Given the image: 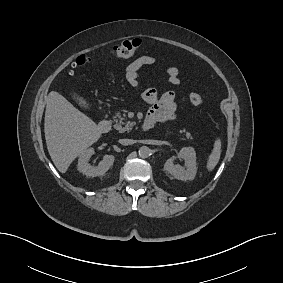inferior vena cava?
<instances>
[{
  "instance_id": "obj_1",
  "label": "inferior vena cava",
  "mask_w": 283,
  "mask_h": 283,
  "mask_svg": "<svg viewBox=\"0 0 283 283\" xmlns=\"http://www.w3.org/2000/svg\"><path fill=\"white\" fill-rule=\"evenodd\" d=\"M119 143L122 145H130L134 143V140L132 139H120Z\"/></svg>"
}]
</instances>
